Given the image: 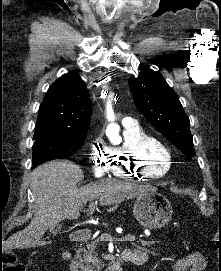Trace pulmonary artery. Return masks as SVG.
<instances>
[{"label": "pulmonary artery", "mask_w": 221, "mask_h": 271, "mask_svg": "<svg viewBox=\"0 0 221 271\" xmlns=\"http://www.w3.org/2000/svg\"><path fill=\"white\" fill-rule=\"evenodd\" d=\"M131 120V119H130ZM121 127H141V122H121ZM138 128H127V133H122V138H139Z\"/></svg>", "instance_id": "pulmonary-artery-1"}]
</instances>
